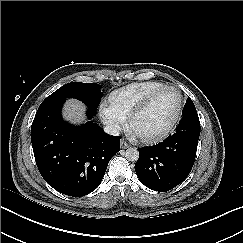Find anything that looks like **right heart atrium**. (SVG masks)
Listing matches in <instances>:
<instances>
[{
  "label": "right heart atrium",
  "instance_id": "d8ad5b80",
  "mask_svg": "<svg viewBox=\"0 0 243 243\" xmlns=\"http://www.w3.org/2000/svg\"><path fill=\"white\" fill-rule=\"evenodd\" d=\"M100 118L111 132L119 131L124 125V119L115 114L110 107L106 105L101 107Z\"/></svg>",
  "mask_w": 243,
  "mask_h": 243
}]
</instances>
